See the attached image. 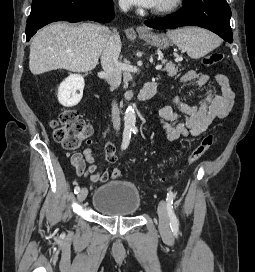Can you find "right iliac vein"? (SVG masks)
Returning a JSON list of instances; mask_svg holds the SVG:
<instances>
[{"label": "right iliac vein", "instance_id": "1", "mask_svg": "<svg viewBox=\"0 0 255 272\" xmlns=\"http://www.w3.org/2000/svg\"><path fill=\"white\" fill-rule=\"evenodd\" d=\"M87 194H88V190L87 188H82L79 193H78V196H77V200L79 203L83 202L85 200V198L87 197Z\"/></svg>", "mask_w": 255, "mask_h": 272}]
</instances>
